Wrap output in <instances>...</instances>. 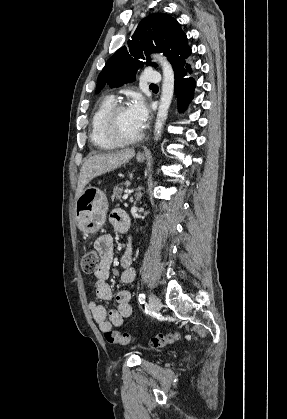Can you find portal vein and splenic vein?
I'll use <instances>...</instances> for the list:
<instances>
[{"instance_id": "obj_1", "label": "portal vein and splenic vein", "mask_w": 287, "mask_h": 419, "mask_svg": "<svg viewBox=\"0 0 287 419\" xmlns=\"http://www.w3.org/2000/svg\"><path fill=\"white\" fill-rule=\"evenodd\" d=\"M128 196H129V192H126V193L123 195V197H122V198H123L124 200H126V199L128 198Z\"/></svg>"}]
</instances>
